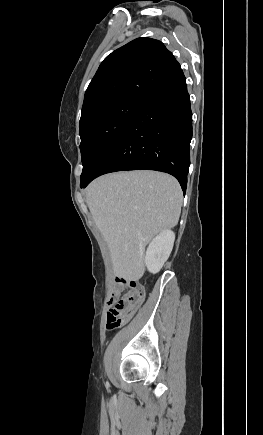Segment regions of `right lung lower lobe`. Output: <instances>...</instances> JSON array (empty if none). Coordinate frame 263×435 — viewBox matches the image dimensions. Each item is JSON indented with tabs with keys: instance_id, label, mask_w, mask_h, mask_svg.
Here are the masks:
<instances>
[{
	"instance_id": "obj_1",
	"label": "right lung lower lobe",
	"mask_w": 263,
	"mask_h": 435,
	"mask_svg": "<svg viewBox=\"0 0 263 435\" xmlns=\"http://www.w3.org/2000/svg\"><path fill=\"white\" fill-rule=\"evenodd\" d=\"M192 112L186 78L181 71L150 96L91 177L115 171L147 169L169 173L186 191L190 165Z\"/></svg>"
}]
</instances>
